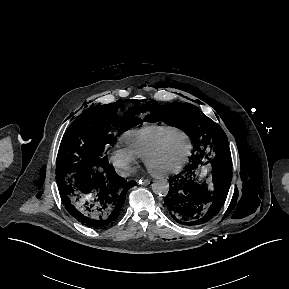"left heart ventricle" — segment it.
Segmentation results:
<instances>
[{
  "label": "left heart ventricle",
  "instance_id": "b2bd125f",
  "mask_svg": "<svg viewBox=\"0 0 289 289\" xmlns=\"http://www.w3.org/2000/svg\"><path fill=\"white\" fill-rule=\"evenodd\" d=\"M187 149V139L183 136H175L149 158L148 167L157 172L172 169L183 161Z\"/></svg>",
  "mask_w": 289,
  "mask_h": 289
}]
</instances>
